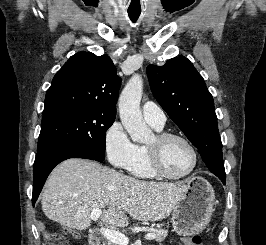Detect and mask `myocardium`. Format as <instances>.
I'll list each match as a JSON object with an SVG mask.
<instances>
[{
  "label": "myocardium",
  "mask_w": 266,
  "mask_h": 245,
  "mask_svg": "<svg viewBox=\"0 0 266 245\" xmlns=\"http://www.w3.org/2000/svg\"><path fill=\"white\" fill-rule=\"evenodd\" d=\"M155 138L158 144L160 145L167 142L170 139H179L183 141L184 143H186L190 147L193 153V164H192L191 169L186 174L179 176V177H175V176L169 175L162 168L158 151L156 149H151L146 146L145 148H146L148 162L155 176L161 179H166V180H171V181H181V180H185L189 178L190 176H192L193 173L196 171L198 164H199V154H198L197 148L191 142V140L182 134L167 132V131L157 132L155 135Z\"/></svg>",
  "instance_id": "f54148a6"
}]
</instances>
